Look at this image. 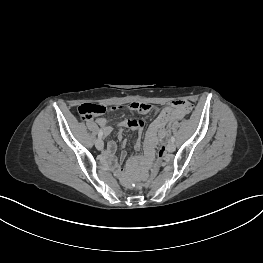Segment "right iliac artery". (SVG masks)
<instances>
[{
  "mask_svg": "<svg viewBox=\"0 0 263 263\" xmlns=\"http://www.w3.org/2000/svg\"><path fill=\"white\" fill-rule=\"evenodd\" d=\"M102 135H103V132H102V130H99V133H98V138H101V137H102Z\"/></svg>",
  "mask_w": 263,
  "mask_h": 263,
  "instance_id": "82829eb1",
  "label": "right iliac artery"
}]
</instances>
